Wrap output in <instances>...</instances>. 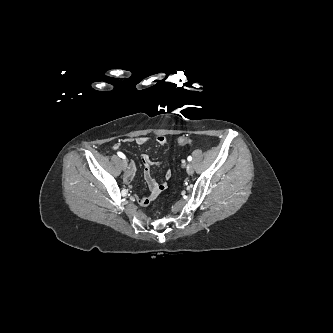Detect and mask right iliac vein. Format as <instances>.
I'll use <instances>...</instances> for the list:
<instances>
[{
  "label": "right iliac vein",
  "mask_w": 333,
  "mask_h": 333,
  "mask_svg": "<svg viewBox=\"0 0 333 333\" xmlns=\"http://www.w3.org/2000/svg\"><path fill=\"white\" fill-rule=\"evenodd\" d=\"M121 165H122V168H123V170H126L127 169V161L126 160H122V163H121Z\"/></svg>",
  "instance_id": "1"
}]
</instances>
